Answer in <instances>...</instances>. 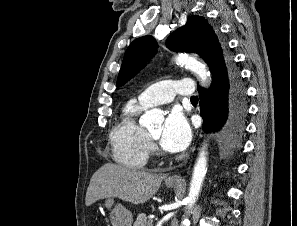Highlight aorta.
Segmentation results:
<instances>
[{
  "mask_svg": "<svg viewBox=\"0 0 297 226\" xmlns=\"http://www.w3.org/2000/svg\"><path fill=\"white\" fill-rule=\"evenodd\" d=\"M175 61L177 64L185 66L186 68L190 69L194 72L203 83L208 82L210 78V72L207 70L206 66L201 62L197 61L196 58L188 56L187 54H179ZM144 119L151 123V122H158L162 119V115L159 110L153 109L148 111ZM204 148L200 151L199 157L197 162L194 166L192 180L190 183V189L188 197L186 198L188 209H191L192 206L195 204L196 200L201 191V187L203 184V180L205 178L207 172V157ZM189 223L188 219H184L181 222L182 226H187Z\"/></svg>",
  "mask_w": 297,
  "mask_h": 226,
  "instance_id": "1",
  "label": "aorta"
}]
</instances>
